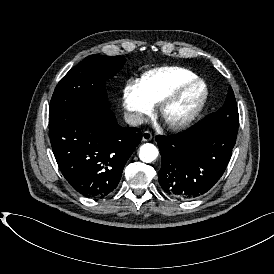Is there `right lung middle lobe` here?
Wrapping results in <instances>:
<instances>
[{
  "label": "right lung middle lobe",
  "instance_id": "right-lung-middle-lobe-1",
  "mask_svg": "<svg viewBox=\"0 0 274 274\" xmlns=\"http://www.w3.org/2000/svg\"><path fill=\"white\" fill-rule=\"evenodd\" d=\"M122 56L90 55L57 84L49 106V121L80 109L109 106L105 81L120 70Z\"/></svg>",
  "mask_w": 274,
  "mask_h": 274
}]
</instances>
